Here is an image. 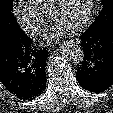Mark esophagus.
Masks as SVG:
<instances>
[{
	"mask_svg": "<svg viewBox=\"0 0 113 113\" xmlns=\"http://www.w3.org/2000/svg\"><path fill=\"white\" fill-rule=\"evenodd\" d=\"M75 43H78V40H74Z\"/></svg>",
	"mask_w": 113,
	"mask_h": 113,
	"instance_id": "esophagus-1",
	"label": "esophagus"
}]
</instances>
